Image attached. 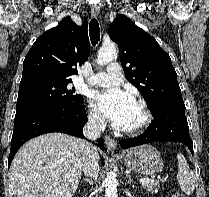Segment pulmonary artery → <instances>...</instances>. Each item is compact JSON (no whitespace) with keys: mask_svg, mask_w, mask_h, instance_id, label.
<instances>
[{"mask_svg":"<svg viewBox=\"0 0 209 197\" xmlns=\"http://www.w3.org/2000/svg\"><path fill=\"white\" fill-rule=\"evenodd\" d=\"M122 82L121 67L117 62L107 66L106 72H99L91 79V83L101 87L119 85Z\"/></svg>","mask_w":209,"mask_h":197,"instance_id":"obj_1","label":"pulmonary artery"}]
</instances>
